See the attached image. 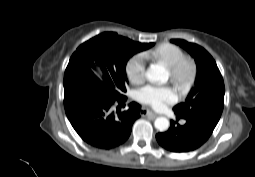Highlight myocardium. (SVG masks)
Returning a JSON list of instances; mask_svg holds the SVG:
<instances>
[{"instance_id": "myocardium-1", "label": "myocardium", "mask_w": 255, "mask_h": 177, "mask_svg": "<svg viewBox=\"0 0 255 177\" xmlns=\"http://www.w3.org/2000/svg\"><path fill=\"white\" fill-rule=\"evenodd\" d=\"M171 79L179 88H186L194 76V63L190 57H183L168 67Z\"/></svg>"}]
</instances>
